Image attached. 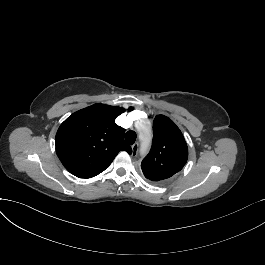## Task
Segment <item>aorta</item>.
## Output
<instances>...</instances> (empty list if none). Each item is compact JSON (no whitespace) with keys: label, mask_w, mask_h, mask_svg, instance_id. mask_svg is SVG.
<instances>
[{"label":"aorta","mask_w":265,"mask_h":265,"mask_svg":"<svg viewBox=\"0 0 265 265\" xmlns=\"http://www.w3.org/2000/svg\"><path fill=\"white\" fill-rule=\"evenodd\" d=\"M147 145V142H145L143 145H142V151L144 150V148L146 147Z\"/></svg>","instance_id":"obj_1"}]
</instances>
